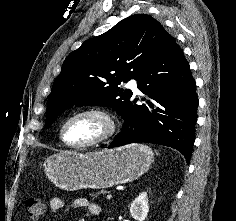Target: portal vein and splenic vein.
Listing matches in <instances>:
<instances>
[{
	"instance_id": "obj_1",
	"label": "portal vein and splenic vein",
	"mask_w": 236,
	"mask_h": 221,
	"mask_svg": "<svg viewBox=\"0 0 236 221\" xmlns=\"http://www.w3.org/2000/svg\"><path fill=\"white\" fill-rule=\"evenodd\" d=\"M112 198V195L111 194H108L107 196H106V199H111Z\"/></svg>"
}]
</instances>
